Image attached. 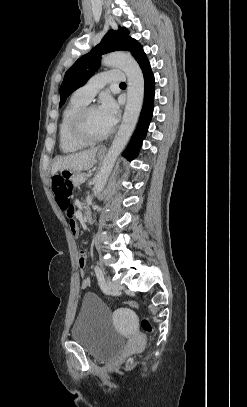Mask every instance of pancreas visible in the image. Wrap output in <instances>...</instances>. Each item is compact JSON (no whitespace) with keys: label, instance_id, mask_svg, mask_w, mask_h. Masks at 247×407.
Listing matches in <instances>:
<instances>
[{"label":"pancreas","instance_id":"1","mask_svg":"<svg viewBox=\"0 0 247 407\" xmlns=\"http://www.w3.org/2000/svg\"><path fill=\"white\" fill-rule=\"evenodd\" d=\"M88 175L86 173H79L77 174L74 179H73V183L75 186H79L80 184L83 183V181L86 179Z\"/></svg>","mask_w":247,"mask_h":407}]
</instances>
